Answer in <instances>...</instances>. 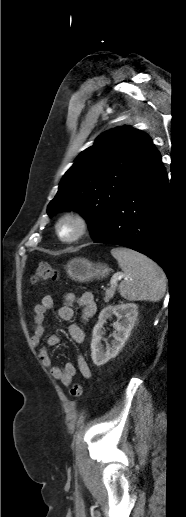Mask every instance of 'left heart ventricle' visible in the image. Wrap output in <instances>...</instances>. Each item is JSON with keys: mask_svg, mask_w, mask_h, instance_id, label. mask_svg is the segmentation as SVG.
Here are the masks:
<instances>
[{"mask_svg": "<svg viewBox=\"0 0 186 517\" xmlns=\"http://www.w3.org/2000/svg\"><path fill=\"white\" fill-rule=\"evenodd\" d=\"M75 231V226L70 223V222H67L65 224L62 225L61 227V232L64 236H71Z\"/></svg>", "mask_w": 186, "mask_h": 517, "instance_id": "1", "label": "left heart ventricle"}]
</instances>
